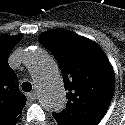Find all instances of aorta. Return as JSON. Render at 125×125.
Returning a JSON list of instances; mask_svg holds the SVG:
<instances>
[{
    "mask_svg": "<svg viewBox=\"0 0 125 125\" xmlns=\"http://www.w3.org/2000/svg\"><path fill=\"white\" fill-rule=\"evenodd\" d=\"M23 62L33 75L40 105L47 111H62L67 99L56 63L39 49L27 50Z\"/></svg>",
    "mask_w": 125,
    "mask_h": 125,
    "instance_id": "762f6f07",
    "label": "aorta"
}]
</instances>
